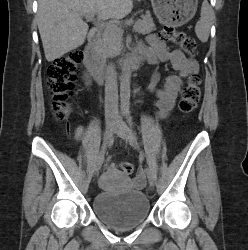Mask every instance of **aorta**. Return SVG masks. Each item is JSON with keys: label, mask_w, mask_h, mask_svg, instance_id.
I'll list each match as a JSON object with an SVG mask.
<instances>
[{"label": "aorta", "mask_w": 248, "mask_h": 250, "mask_svg": "<svg viewBox=\"0 0 248 250\" xmlns=\"http://www.w3.org/2000/svg\"><path fill=\"white\" fill-rule=\"evenodd\" d=\"M120 102L122 113H128L130 108V72L126 63L120 78Z\"/></svg>", "instance_id": "1"}]
</instances>
